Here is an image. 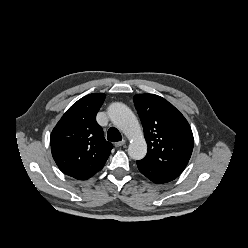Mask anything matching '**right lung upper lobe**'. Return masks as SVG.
<instances>
[{"mask_svg": "<svg viewBox=\"0 0 248 248\" xmlns=\"http://www.w3.org/2000/svg\"><path fill=\"white\" fill-rule=\"evenodd\" d=\"M104 99L105 94H89L79 99L51 133V151L57 166L75 179L86 180L101 170L113 148L96 122Z\"/></svg>", "mask_w": 248, "mask_h": 248, "instance_id": "1", "label": "right lung upper lobe"}]
</instances>
